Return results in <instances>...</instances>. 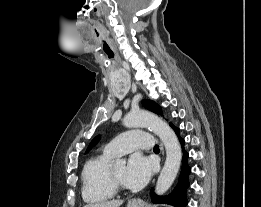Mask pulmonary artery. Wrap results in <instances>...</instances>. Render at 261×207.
Returning a JSON list of instances; mask_svg holds the SVG:
<instances>
[{
	"mask_svg": "<svg viewBox=\"0 0 261 207\" xmlns=\"http://www.w3.org/2000/svg\"><path fill=\"white\" fill-rule=\"evenodd\" d=\"M153 147L152 136L141 130L126 131L110 141L105 151L113 156H121L136 149H150Z\"/></svg>",
	"mask_w": 261,
	"mask_h": 207,
	"instance_id": "e3ab8cb5",
	"label": "pulmonary artery"
}]
</instances>
